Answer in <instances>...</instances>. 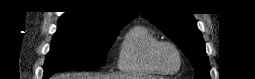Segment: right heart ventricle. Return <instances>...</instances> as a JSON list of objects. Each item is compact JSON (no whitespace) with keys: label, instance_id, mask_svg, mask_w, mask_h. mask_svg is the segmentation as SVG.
<instances>
[{"label":"right heart ventricle","instance_id":"e07e8e85","mask_svg":"<svg viewBox=\"0 0 255 79\" xmlns=\"http://www.w3.org/2000/svg\"><path fill=\"white\" fill-rule=\"evenodd\" d=\"M158 41L156 34L145 26L130 28L120 46L119 69L125 73L146 76L161 74L149 60V50Z\"/></svg>","mask_w":255,"mask_h":79}]
</instances>
